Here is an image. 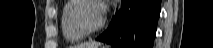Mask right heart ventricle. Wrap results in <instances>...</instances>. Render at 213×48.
<instances>
[{
  "mask_svg": "<svg viewBox=\"0 0 213 48\" xmlns=\"http://www.w3.org/2000/svg\"><path fill=\"white\" fill-rule=\"evenodd\" d=\"M76 0H68L65 1L62 11H61V31L64 36V38L68 42H78L81 41L84 38V35H82L76 27L73 25L71 19H70V12L75 4Z\"/></svg>",
  "mask_w": 213,
  "mask_h": 48,
  "instance_id": "obj_1",
  "label": "right heart ventricle"
}]
</instances>
